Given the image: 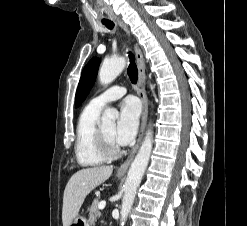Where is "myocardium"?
I'll return each instance as SVG.
<instances>
[{
	"instance_id": "1",
	"label": "myocardium",
	"mask_w": 247,
	"mask_h": 226,
	"mask_svg": "<svg viewBox=\"0 0 247 226\" xmlns=\"http://www.w3.org/2000/svg\"><path fill=\"white\" fill-rule=\"evenodd\" d=\"M95 146L99 155L104 158V160H112L117 158L121 154V148L110 147L103 132L102 128L98 127L95 134Z\"/></svg>"
}]
</instances>
